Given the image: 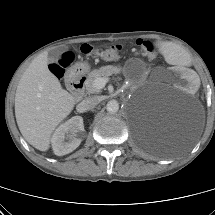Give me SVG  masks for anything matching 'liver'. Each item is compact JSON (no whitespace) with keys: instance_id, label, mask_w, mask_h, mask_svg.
I'll list each match as a JSON object with an SVG mask.
<instances>
[{"instance_id":"6515ba94","label":"liver","mask_w":215,"mask_h":215,"mask_svg":"<svg viewBox=\"0 0 215 215\" xmlns=\"http://www.w3.org/2000/svg\"><path fill=\"white\" fill-rule=\"evenodd\" d=\"M75 98L62 89L48 69V53L32 60L23 73L15 94V117L24 139L47 151L55 128L71 113Z\"/></svg>"}]
</instances>
